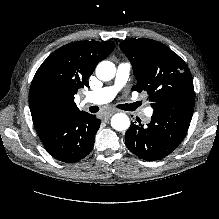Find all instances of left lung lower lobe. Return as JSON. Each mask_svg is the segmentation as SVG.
I'll return each mask as SVG.
<instances>
[{
	"instance_id": "1",
	"label": "left lung lower lobe",
	"mask_w": 219,
	"mask_h": 219,
	"mask_svg": "<svg viewBox=\"0 0 219 219\" xmlns=\"http://www.w3.org/2000/svg\"><path fill=\"white\" fill-rule=\"evenodd\" d=\"M194 108L153 112L147 126L132 123L126 131L127 148L144 160H158L174 151L185 137Z\"/></svg>"
}]
</instances>
